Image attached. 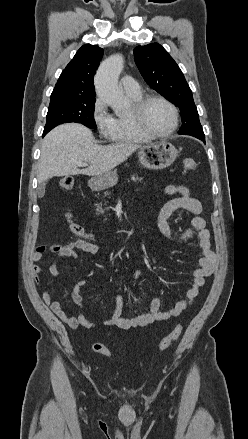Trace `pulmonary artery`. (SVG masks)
Returning a JSON list of instances; mask_svg holds the SVG:
<instances>
[{
	"label": "pulmonary artery",
	"mask_w": 248,
	"mask_h": 439,
	"mask_svg": "<svg viewBox=\"0 0 248 439\" xmlns=\"http://www.w3.org/2000/svg\"><path fill=\"white\" fill-rule=\"evenodd\" d=\"M120 84L127 94H139L141 92L139 84L132 76H123Z\"/></svg>",
	"instance_id": "obj_1"
}]
</instances>
